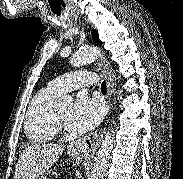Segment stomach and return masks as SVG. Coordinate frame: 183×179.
<instances>
[{
	"instance_id": "stomach-1",
	"label": "stomach",
	"mask_w": 183,
	"mask_h": 179,
	"mask_svg": "<svg viewBox=\"0 0 183 179\" xmlns=\"http://www.w3.org/2000/svg\"><path fill=\"white\" fill-rule=\"evenodd\" d=\"M68 154L73 158L76 159L77 161H83L85 160L88 156L85 152L84 149L81 148H69L68 150ZM36 179H47V177L45 175L39 176Z\"/></svg>"
}]
</instances>
